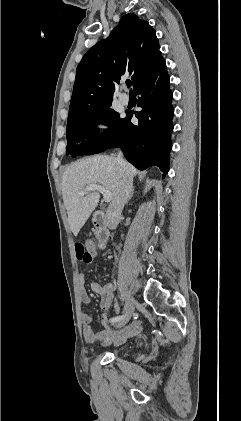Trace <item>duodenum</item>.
I'll list each match as a JSON object with an SVG mask.
<instances>
[{
    "label": "duodenum",
    "mask_w": 241,
    "mask_h": 421,
    "mask_svg": "<svg viewBox=\"0 0 241 421\" xmlns=\"http://www.w3.org/2000/svg\"><path fill=\"white\" fill-rule=\"evenodd\" d=\"M95 227V236L101 247L105 245L109 238L108 222L106 214L103 211H95L92 216Z\"/></svg>",
    "instance_id": "duodenum-1"
}]
</instances>
